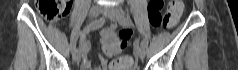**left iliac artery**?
Here are the masks:
<instances>
[{
	"mask_svg": "<svg viewBox=\"0 0 238 70\" xmlns=\"http://www.w3.org/2000/svg\"><path fill=\"white\" fill-rule=\"evenodd\" d=\"M120 24L123 25V26H126V27L134 26L133 23L131 22V20L126 18L124 16V14L123 15L121 14ZM144 40L145 41L141 42V47H142L143 50H146L149 43L147 41L148 40L147 38H145Z\"/></svg>",
	"mask_w": 238,
	"mask_h": 70,
	"instance_id": "44dca946",
	"label": "left iliac artery"
}]
</instances>
